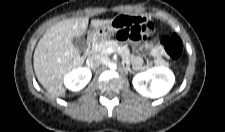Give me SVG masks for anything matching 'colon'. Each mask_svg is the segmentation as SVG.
Listing matches in <instances>:
<instances>
[{"instance_id": "obj_1", "label": "colon", "mask_w": 225, "mask_h": 132, "mask_svg": "<svg viewBox=\"0 0 225 132\" xmlns=\"http://www.w3.org/2000/svg\"><path fill=\"white\" fill-rule=\"evenodd\" d=\"M154 30V25L152 23H143L138 25H133L130 27H121L116 31V36L122 41H138L149 37L150 33ZM163 50L165 54L173 59L179 60L182 56V42L180 38L172 33L162 37L161 40Z\"/></svg>"}]
</instances>
